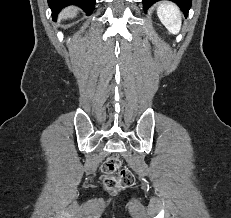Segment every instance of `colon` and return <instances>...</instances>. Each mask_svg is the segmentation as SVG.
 I'll return each instance as SVG.
<instances>
[{
    "label": "colon",
    "mask_w": 231,
    "mask_h": 218,
    "mask_svg": "<svg viewBox=\"0 0 231 218\" xmlns=\"http://www.w3.org/2000/svg\"><path fill=\"white\" fill-rule=\"evenodd\" d=\"M103 184L108 189H122L131 187L135 182L134 174L128 168H121V160L112 156L101 165Z\"/></svg>",
    "instance_id": "obj_1"
}]
</instances>
